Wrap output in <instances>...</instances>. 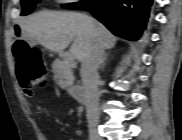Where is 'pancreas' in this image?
Masks as SVG:
<instances>
[{
	"instance_id": "obj_1",
	"label": "pancreas",
	"mask_w": 182,
	"mask_h": 140,
	"mask_svg": "<svg viewBox=\"0 0 182 140\" xmlns=\"http://www.w3.org/2000/svg\"><path fill=\"white\" fill-rule=\"evenodd\" d=\"M54 72V80L61 88H67L72 85L74 76L72 65L70 62L64 60H56L52 64Z\"/></svg>"
}]
</instances>
